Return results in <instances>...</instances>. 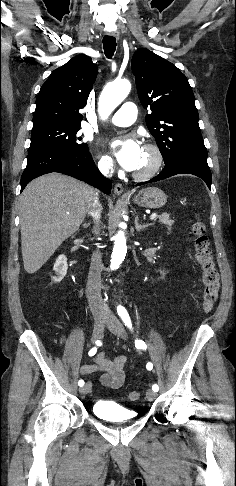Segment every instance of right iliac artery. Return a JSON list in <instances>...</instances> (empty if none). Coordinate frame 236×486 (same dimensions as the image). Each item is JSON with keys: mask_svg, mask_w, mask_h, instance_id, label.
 <instances>
[{"mask_svg": "<svg viewBox=\"0 0 236 486\" xmlns=\"http://www.w3.org/2000/svg\"><path fill=\"white\" fill-rule=\"evenodd\" d=\"M96 343H98V340L96 341ZM97 352V348L96 347H93L90 351H89V356H93L95 355V353ZM78 385L79 386H83L84 385V381L83 380H79L78 382Z\"/></svg>", "mask_w": 236, "mask_h": 486, "instance_id": "obj_1", "label": "right iliac artery"}]
</instances>
